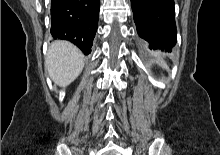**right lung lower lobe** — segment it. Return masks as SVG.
I'll return each mask as SVG.
<instances>
[{"label": "right lung lower lobe", "mask_w": 220, "mask_h": 155, "mask_svg": "<svg viewBox=\"0 0 220 155\" xmlns=\"http://www.w3.org/2000/svg\"><path fill=\"white\" fill-rule=\"evenodd\" d=\"M100 0H51V34L91 52L98 27Z\"/></svg>", "instance_id": "98d812e1"}]
</instances>
